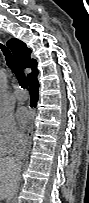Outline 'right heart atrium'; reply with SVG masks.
<instances>
[{
    "instance_id": "d8ad5b80",
    "label": "right heart atrium",
    "mask_w": 89,
    "mask_h": 203,
    "mask_svg": "<svg viewBox=\"0 0 89 203\" xmlns=\"http://www.w3.org/2000/svg\"><path fill=\"white\" fill-rule=\"evenodd\" d=\"M25 135L18 129L10 114L0 116V144L5 153L14 152L24 142Z\"/></svg>"
}]
</instances>
